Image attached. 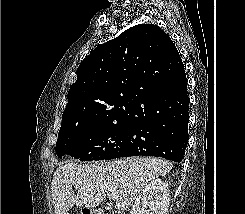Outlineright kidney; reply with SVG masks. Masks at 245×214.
Masks as SVG:
<instances>
[{
	"mask_svg": "<svg viewBox=\"0 0 245 214\" xmlns=\"http://www.w3.org/2000/svg\"><path fill=\"white\" fill-rule=\"evenodd\" d=\"M169 202L168 184L157 178L144 187L130 214H167Z\"/></svg>",
	"mask_w": 245,
	"mask_h": 214,
	"instance_id": "1",
	"label": "right kidney"
}]
</instances>
